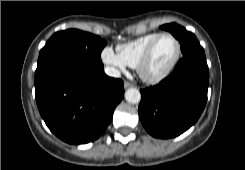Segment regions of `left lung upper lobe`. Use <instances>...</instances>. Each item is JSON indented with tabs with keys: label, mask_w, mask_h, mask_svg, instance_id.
Here are the masks:
<instances>
[{
	"label": "left lung upper lobe",
	"mask_w": 245,
	"mask_h": 170,
	"mask_svg": "<svg viewBox=\"0 0 245 170\" xmlns=\"http://www.w3.org/2000/svg\"><path fill=\"white\" fill-rule=\"evenodd\" d=\"M160 28L169 31L179 40L183 56H194L206 59L204 49L193 33L176 23L165 24L160 26Z\"/></svg>",
	"instance_id": "obj_1"
}]
</instances>
